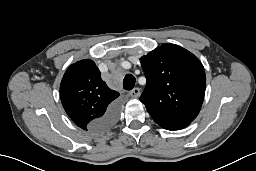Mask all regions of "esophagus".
Segmentation results:
<instances>
[{"label": "esophagus", "instance_id": "esophagus-1", "mask_svg": "<svg viewBox=\"0 0 256 171\" xmlns=\"http://www.w3.org/2000/svg\"><path fill=\"white\" fill-rule=\"evenodd\" d=\"M129 95L133 98H138L140 96V89L134 88L133 90L130 91Z\"/></svg>", "mask_w": 256, "mask_h": 171}]
</instances>
